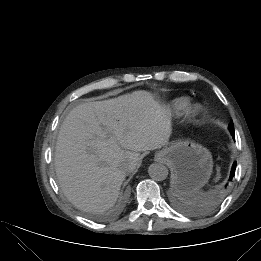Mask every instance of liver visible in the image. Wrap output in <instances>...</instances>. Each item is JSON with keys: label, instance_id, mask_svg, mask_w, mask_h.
Instances as JSON below:
<instances>
[{"label": "liver", "instance_id": "obj_1", "mask_svg": "<svg viewBox=\"0 0 261 261\" xmlns=\"http://www.w3.org/2000/svg\"><path fill=\"white\" fill-rule=\"evenodd\" d=\"M164 106L148 91L80 104L67 115L55 147L59 184L78 209L112 207L140 152L168 144Z\"/></svg>", "mask_w": 261, "mask_h": 261}]
</instances>
